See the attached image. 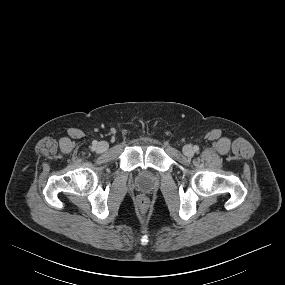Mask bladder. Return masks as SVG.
<instances>
[{
    "label": "bladder",
    "instance_id": "bladder-1",
    "mask_svg": "<svg viewBox=\"0 0 285 285\" xmlns=\"http://www.w3.org/2000/svg\"><path fill=\"white\" fill-rule=\"evenodd\" d=\"M139 182L143 186H150L152 184V179L147 172L143 171L139 176Z\"/></svg>",
    "mask_w": 285,
    "mask_h": 285
}]
</instances>
